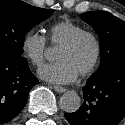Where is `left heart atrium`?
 <instances>
[{
	"label": "left heart atrium",
	"instance_id": "obj_1",
	"mask_svg": "<svg viewBox=\"0 0 125 125\" xmlns=\"http://www.w3.org/2000/svg\"><path fill=\"white\" fill-rule=\"evenodd\" d=\"M39 76L49 82L67 84L73 82L77 78L78 73L68 62L59 60L42 67L39 70Z\"/></svg>",
	"mask_w": 125,
	"mask_h": 125
}]
</instances>
